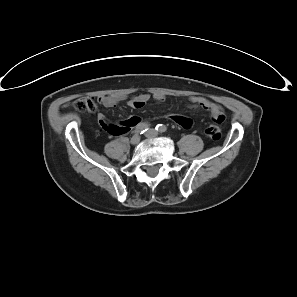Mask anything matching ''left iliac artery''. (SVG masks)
<instances>
[{"instance_id": "1", "label": "left iliac artery", "mask_w": 297, "mask_h": 297, "mask_svg": "<svg viewBox=\"0 0 297 297\" xmlns=\"http://www.w3.org/2000/svg\"><path fill=\"white\" fill-rule=\"evenodd\" d=\"M156 130L158 131V132H165L166 131V127L164 126V125H162V124H158L157 126H156Z\"/></svg>"}]
</instances>
